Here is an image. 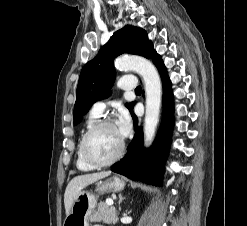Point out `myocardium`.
<instances>
[{
    "instance_id": "1",
    "label": "myocardium",
    "mask_w": 247,
    "mask_h": 226,
    "mask_svg": "<svg viewBox=\"0 0 247 226\" xmlns=\"http://www.w3.org/2000/svg\"><path fill=\"white\" fill-rule=\"evenodd\" d=\"M114 126H115V124L112 120H109V119L100 120V121L96 122L94 125H92L87 130V132L84 134V136L82 138V141H81L82 157L86 163L93 166L94 168H101V167L110 166V165L114 164L115 162H117L118 160H120L125 153L126 145H125L124 141H122L120 149L117 152V154L107 161H96L95 159H93L90 156V154L88 152L87 145H88V141H89L90 137L102 128L114 127Z\"/></svg>"
}]
</instances>
